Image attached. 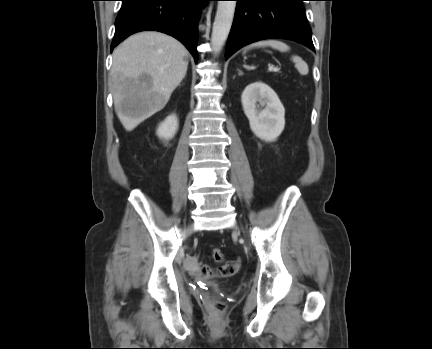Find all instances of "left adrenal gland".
Segmentation results:
<instances>
[{
    "mask_svg": "<svg viewBox=\"0 0 432 349\" xmlns=\"http://www.w3.org/2000/svg\"><path fill=\"white\" fill-rule=\"evenodd\" d=\"M242 74H243V72L238 69V75H242Z\"/></svg>",
    "mask_w": 432,
    "mask_h": 349,
    "instance_id": "1",
    "label": "left adrenal gland"
}]
</instances>
